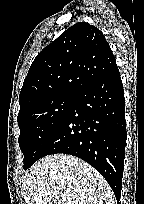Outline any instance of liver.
I'll return each mask as SVG.
<instances>
[{"label":"liver","instance_id":"liver-1","mask_svg":"<svg viewBox=\"0 0 144 204\" xmlns=\"http://www.w3.org/2000/svg\"><path fill=\"white\" fill-rule=\"evenodd\" d=\"M24 204H114L102 175L83 160L54 154L37 161L22 178Z\"/></svg>","mask_w":144,"mask_h":204}]
</instances>
